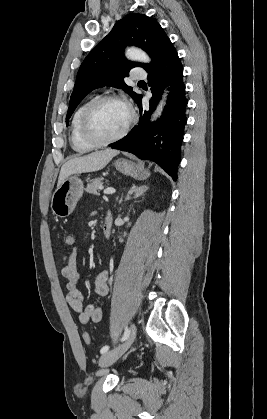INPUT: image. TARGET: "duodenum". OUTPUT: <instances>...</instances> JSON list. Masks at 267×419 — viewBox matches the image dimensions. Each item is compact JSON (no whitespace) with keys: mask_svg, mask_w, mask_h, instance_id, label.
Wrapping results in <instances>:
<instances>
[{"mask_svg":"<svg viewBox=\"0 0 267 419\" xmlns=\"http://www.w3.org/2000/svg\"><path fill=\"white\" fill-rule=\"evenodd\" d=\"M112 224L113 222L111 216H107L102 227V233L105 238H108L111 235Z\"/></svg>","mask_w":267,"mask_h":419,"instance_id":"obj_1","label":"duodenum"}]
</instances>
